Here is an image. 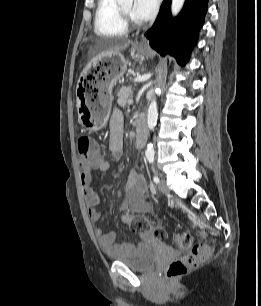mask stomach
<instances>
[{
    "label": "stomach",
    "mask_w": 261,
    "mask_h": 306,
    "mask_svg": "<svg viewBox=\"0 0 261 306\" xmlns=\"http://www.w3.org/2000/svg\"><path fill=\"white\" fill-rule=\"evenodd\" d=\"M138 54L150 56L149 51L141 49H138ZM91 65L100 67V77L78 85L77 108L81 125L86 130L98 131L108 121L113 102L112 90L116 81L124 75L127 61L121 52H114L95 57Z\"/></svg>",
    "instance_id": "0dacf381"
}]
</instances>
